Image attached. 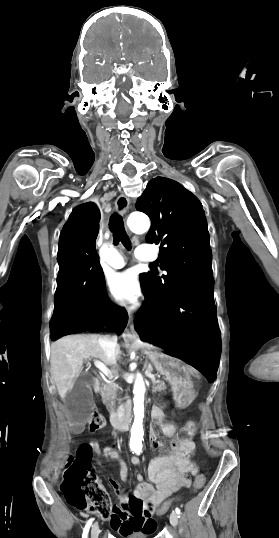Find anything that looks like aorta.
Here are the masks:
<instances>
[{"instance_id":"762f6f07","label":"aorta","mask_w":279,"mask_h":538,"mask_svg":"<svg viewBox=\"0 0 279 538\" xmlns=\"http://www.w3.org/2000/svg\"><path fill=\"white\" fill-rule=\"evenodd\" d=\"M128 227L135 233H145L150 228L149 218L142 213H132L127 220ZM134 423L131 428L130 447L134 450L142 448L143 417H144V394L145 383L140 373H137L134 383Z\"/></svg>"}]
</instances>
